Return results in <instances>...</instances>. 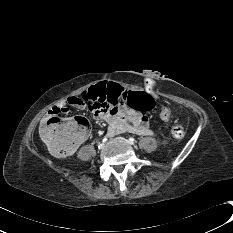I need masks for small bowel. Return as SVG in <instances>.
Listing matches in <instances>:
<instances>
[{"instance_id":"obj_1","label":"small bowel","mask_w":233,"mask_h":233,"mask_svg":"<svg viewBox=\"0 0 233 233\" xmlns=\"http://www.w3.org/2000/svg\"><path fill=\"white\" fill-rule=\"evenodd\" d=\"M144 94L152 98L149 94ZM68 106L78 110L87 109L89 112L93 113L95 119L106 121L108 123V131L112 135L124 132L139 136H150L153 134L147 117L137 112V109L133 107H124L120 103L116 107L113 105H105L103 103L88 105L79 97H71L61 106L53 108L50 113L53 114L55 111L64 110V108Z\"/></svg>"}]
</instances>
